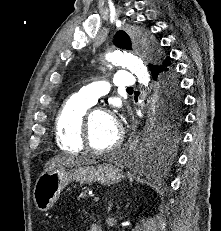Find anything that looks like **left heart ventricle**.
Listing matches in <instances>:
<instances>
[{
	"instance_id": "1",
	"label": "left heart ventricle",
	"mask_w": 221,
	"mask_h": 231,
	"mask_svg": "<svg viewBox=\"0 0 221 231\" xmlns=\"http://www.w3.org/2000/svg\"><path fill=\"white\" fill-rule=\"evenodd\" d=\"M118 133L119 130L113 127L109 114L97 112L92 116L90 138L94 147H109L116 140Z\"/></svg>"
}]
</instances>
